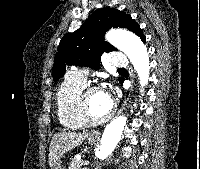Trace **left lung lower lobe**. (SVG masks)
Returning a JSON list of instances; mask_svg holds the SVG:
<instances>
[{
    "instance_id": "left-lung-lower-lobe-1",
    "label": "left lung lower lobe",
    "mask_w": 200,
    "mask_h": 169,
    "mask_svg": "<svg viewBox=\"0 0 200 169\" xmlns=\"http://www.w3.org/2000/svg\"><path fill=\"white\" fill-rule=\"evenodd\" d=\"M143 42H145L146 41V38L144 39V40H142ZM122 82V81H121Z\"/></svg>"
}]
</instances>
